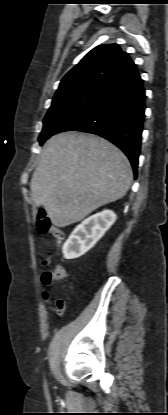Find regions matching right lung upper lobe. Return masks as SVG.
Segmentation results:
<instances>
[{"label":"right lung upper lobe","instance_id":"cb5924a9","mask_svg":"<svg viewBox=\"0 0 168 415\" xmlns=\"http://www.w3.org/2000/svg\"><path fill=\"white\" fill-rule=\"evenodd\" d=\"M136 68L117 44L93 48L61 80L54 98L76 91H103Z\"/></svg>","mask_w":168,"mask_h":415}]
</instances>
